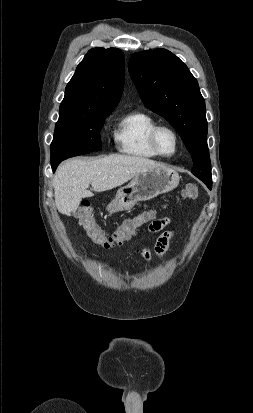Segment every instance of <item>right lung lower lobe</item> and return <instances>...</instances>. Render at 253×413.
Masks as SVG:
<instances>
[{
  "label": "right lung lower lobe",
  "mask_w": 253,
  "mask_h": 413,
  "mask_svg": "<svg viewBox=\"0 0 253 413\" xmlns=\"http://www.w3.org/2000/svg\"><path fill=\"white\" fill-rule=\"evenodd\" d=\"M58 164H59V163H54V164H51L53 172H55V170H56V168H57Z\"/></svg>",
  "instance_id": "98d812e1"
}]
</instances>
